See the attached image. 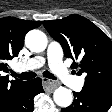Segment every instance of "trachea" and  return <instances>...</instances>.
<instances>
[{
    "label": "trachea",
    "mask_w": 112,
    "mask_h": 112,
    "mask_svg": "<svg viewBox=\"0 0 112 112\" xmlns=\"http://www.w3.org/2000/svg\"><path fill=\"white\" fill-rule=\"evenodd\" d=\"M12 75L20 78L21 80H29V79L34 78L36 76V73L35 72H24L21 74H17L15 72H12ZM43 76L46 78H49V79L56 80V77L52 73H50L49 71H44Z\"/></svg>",
    "instance_id": "trachea-1"
}]
</instances>
